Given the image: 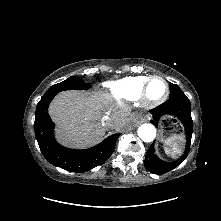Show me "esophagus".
<instances>
[{
	"instance_id": "1",
	"label": "esophagus",
	"mask_w": 221,
	"mask_h": 221,
	"mask_svg": "<svg viewBox=\"0 0 221 221\" xmlns=\"http://www.w3.org/2000/svg\"><path fill=\"white\" fill-rule=\"evenodd\" d=\"M143 121H144V119L143 120L140 119L137 123L141 124Z\"/></svg>"
}]
</instances>
